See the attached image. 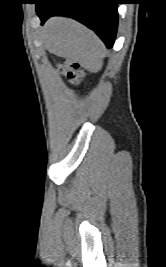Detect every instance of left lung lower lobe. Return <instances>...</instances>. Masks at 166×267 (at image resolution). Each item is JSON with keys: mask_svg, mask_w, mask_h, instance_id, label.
I'll return each instance as SVG.
<instances>
[{"mask_svg": "<svg viewBox=\"0 0 166 267\" xmlns=\"http://www.w3.org/2000/svg\"><path fill=\"white\" fill-rule=\"evenodd\" d=\"M36 12L41 24L51 16L63 15L76 19L111 48L117 31L119 0H35Z\"/></svg>", "mask_w": 166, "mask_h": 267, "instance_id": "left-lung-lower-lobe-1", "label": "left lung lower lobe"}]
</instances>
